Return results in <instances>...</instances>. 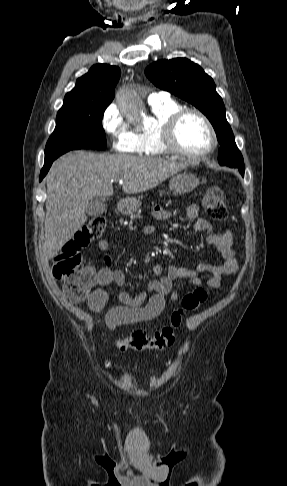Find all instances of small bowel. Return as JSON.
Listing matches in <instances>:
<instances>
[{
	"label": "small bowel",
	"mask_w": 287,
	"mask_h": 486,
	"mask_svg": "<svg viewBox=\"0 0 287 486\" xmlns=\"http://www.w3.org/2000/svg\"><path fill=\"white\" fill-rule=\"evenodd\" d=\"M151 216L157 220H166L173 214L160 206H156ZM186 217L195 221L194 229L197 232L209 231L211 223L199 216V207L195 204L186 208ZM155 228L147 225L143 227L145 234H154ZM207 242L217 249L222 257L219 264L200 263L196 269L177 268L174 266L164 267L162 264H155L152 267V274L155 279L147 284V291L136 295L128 292H121L118 295L121 305L111 308L106 314V324L110 329L121 325H131L148 322L158 317L165 307L166 298L177 301L179 293L173 289L174 282L178 279H185L192 286H201L203 280L201 275L209 273L207 285L211 288H218L224 276H231L239 269L236 252L233 248V234L226 229L222 233H211ZM98 248L107 252L109 242L102 239L98 242ZM104 266L96 274V288L88 298V306L93 312H101L110 298L107 287L125 285V274L112 266V259L108 254L103 257Z\"/></svg>",
	"instance_id": "1"
}]
</instances>
